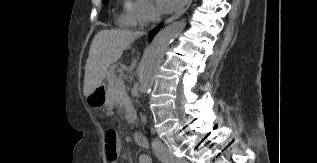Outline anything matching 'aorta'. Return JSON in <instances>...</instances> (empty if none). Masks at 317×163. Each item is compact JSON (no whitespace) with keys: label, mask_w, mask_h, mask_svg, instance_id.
<instances>
[{"label":"aorta","mask_w":317,"mask_h":163,"mask_svg":"<svg viewBox=\"0 0 317 163\" xmlns=\"http://www.w3.org/2000/svg\"><path fill=\"white\" fill-rule=\"evenodd\" d=\"M185 21L172 22L152 40L142 59L139 71L140 88L148 94L155 81L156 72L171 42L183 31Z\"/></svg>","instance_id":"obj_1"}]
</instances>
